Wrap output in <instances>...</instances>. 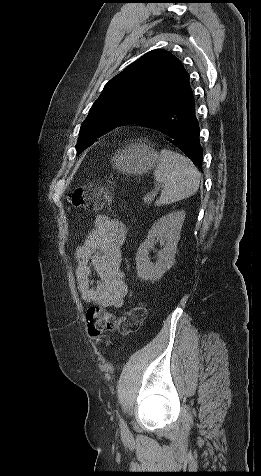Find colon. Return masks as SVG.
<instances>
[{
	"label": "colon",
	"mask_w": 261,
	"mask_h": 476,
	"mask_svg": "<svg viewBox=\"0 0 261 476\" xmlns=\"http://www.w3.org/2000/svg\"><path fill=\"white\" fill-rule=\"evenodd\" d=\"M68 201L77 208L100 211L110 209L112 198L104 185L92 182L73 189ZM145 317L146 308L141 304L132 306L121 316H116L99 306H92L86 312L87 330L97 343L108 345L109 342L105 339L106 332L129 334L140 327Z\"/></svg>",
	"instance_id": "colon-1"
}]
</instances>
